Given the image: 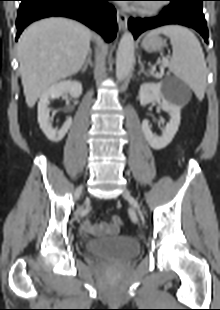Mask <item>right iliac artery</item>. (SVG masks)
<instances>
[{
    "mask_svg": "<svg viewBox=\"0 0 220 310\" xmlns=\"http://www.w3.org/2000/svg\"><path fill=\"white\" fill-rule=\"evenodd\" d=\"M81 189H82L81 187H78V188H77V190H76V196H79V194H80V192H81Z\"/></svg>",
    "mask_w": 220,
    "mask_h": 310,
    "instance_id": "82829eb1",
    "label": "right iliac artery"
}]
</instances>
